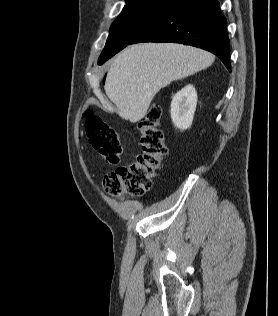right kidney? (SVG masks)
<instances>
[{"instance_id":"ca27d5eb","label":"right kidney","mask_w":278,"mask_h":316,"mask_svg":"<svg viewBox=\"0 0 278 316\" xmlns=\"http://www.w3.org/2000/svg\"><path fill=\"white\" fill-rule=\"evenodd\" d=\"M197 105V92L187 85L175 94L171 102V119L174 125L186 130L191 127Z\"/></svg>"}]
</instances>
